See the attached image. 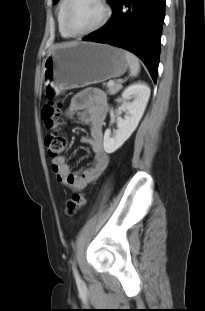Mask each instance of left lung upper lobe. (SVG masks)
Returning a JSON list of instances; mask_svg holds the SVG:
<instances>
[{"instance_id":"5c2ea615","label":"left lung upper lobe","mask_w":205,"mask_h":311,"mask_svg":"<svg viewBox=\"0 0 205 311\" xmlns=\"http://www.w3.org/2000/svg\"><path fill=\"white\" fill-rule=\"evenodd\" d=\"M54 1H57V0H54ZM114 2V0H109V3L112 5Z\"/></svg>"}]
</instances>
